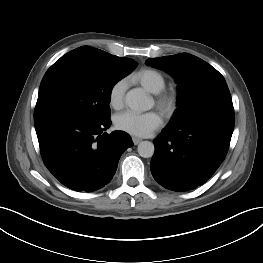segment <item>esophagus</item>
<instances>
[{
	"label": "esophagus",
	"instance_id": "1",
	"mask_svg": "<svg viewBox=\"0 0 263 263\" xmlns=\"http://www.w3.org/2000/svg\"><path fill=\"white\" fill-rule=\"evenodd\" d=\"M132 141H133L134 145H137L142 141V139L138 138V137H132Z\"/></svg>",
	"mask_w": 263,
	"mask_h": 263
}]
</instances>
